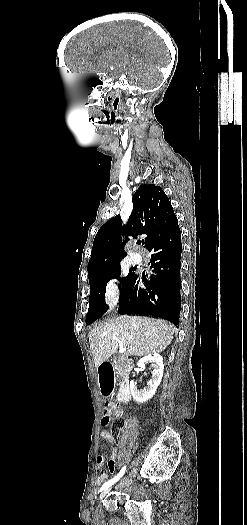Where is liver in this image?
<instances>
[{
    "label": "liver",
    "instance_id": "liver-1",
    "mask_svg": "<svg viewBox=\"0 0 247 525\" xmlns=\"http://www.w3.org/2000/svg\"><path fill=\"white\" fill-rule=\"evenodd\" d=\"M176 327L150 317L121 315L106 323L94 325L89 333V343L96 369L108 361L118 347L126 349L124 357H146L162 353L170 345Z\"/></svg>",
    "mask_w": 247,
    "mask_h": 525
}]
</instances>
